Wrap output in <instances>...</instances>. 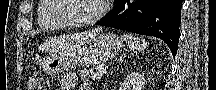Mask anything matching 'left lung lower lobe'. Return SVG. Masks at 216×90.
Returning a JSON list of instances; mask_svg holds the SVG:
<instances>
[{
    "label": "left lung lower lobe",
    "mask_w": 216,
    "mask_h": 90,
    "mask_svg": "<svg viewBox=\"0 0 216 90\" xmlns=\"http://www.w3.org/2000/svg\"><path fill=\"white\" fill-rule=\"evenodd\" d=\"M116 7L98 25L162 39L177 53L182 0H116Z\"/></svg>",
    "instance_id": "obj_1"
}]
</instances>
